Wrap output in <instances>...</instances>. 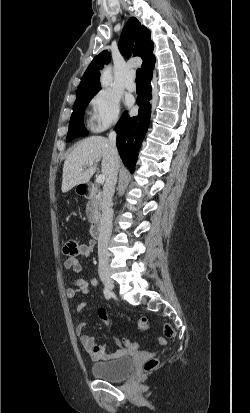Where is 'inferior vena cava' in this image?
I'll return each instance as SVG.
<instances>
[{
    "label": "inferior vena cava",
    "mask_w": 250,
    "mask_h": 413,
    "mask_svg": "<svg viewBox=\"0 0 250 413\" xmlns=\"http://www.w3.org/2000/svg\"><path fill=\"white\" fill-rule=\"evenodd\" d=\"M116 132L109 134L111 152V170L103 188L102 216L100 220V232L98 238L99 267L108 268L109 253L108 243L112 232V197L115 191L117 175L119 170V155L116 147Z\"/></svg>",
    "instance_id": "602c4592"
}]
</instances>
